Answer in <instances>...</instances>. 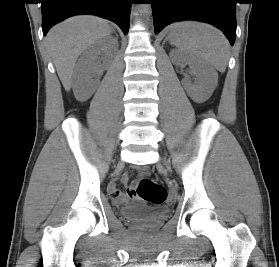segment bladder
Segmentation results:
<instances>
[{
    "label": "bladder",
    "instance_id": "1",
    "mask_svg": "<svg viewBox=\"0 0 279 267\" xmlns=\"http://www.w3.org/2000/svg\"><path fill=\"white\" fill-rule=\"evenodd\" d=\"M123 215L131 222H146L147 219L144 217V214L133 209L125 208L122 211ZM164 215L157 214L153 217L152 221H157L161 219Z\"/></svg>",
    "mask_w": 279,
    "mask_h": 267
}]
</instances>
